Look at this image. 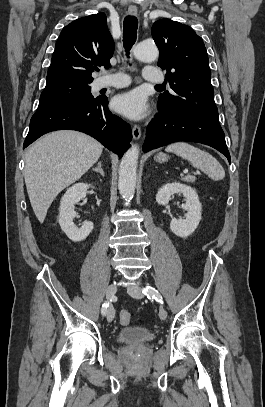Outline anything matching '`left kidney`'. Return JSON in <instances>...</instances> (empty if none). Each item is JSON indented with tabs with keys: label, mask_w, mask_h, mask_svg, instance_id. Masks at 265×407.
<instances>
[{
	"label": "left kidney",
	"mask_w": 265,
	"mask_h": 407,
	"mask_svg": "<svg viewBox=\"0 0 265 407\" xmlns=\"http://www.w3.org/2000/svg\"><path fill=\"white\" fill-rule=\"evenodd\" d=\"M175 193H181L185 197V204H182L181 207L187 213L185 219L172 218L170 229L175 235L185 238L190 236L198 227L202 207L196 191L190 186L178 182L163 185L156 195V202L159 205H167L170 197Z\"/></svg>",
	"instance_id": "left-kidney-1"
}]
</instances>
